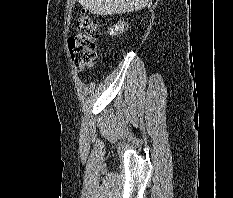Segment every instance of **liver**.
Masks as SVG:
<instances>
[{
    "label": "liver",
    "mask_w": 233,
    "mask_h": 198,
    "mask_svg": "<svg viewBox=\"0 0 233 198\" xmlns=\"http://www.w3.org/2000/svg\"><path fill=\"white\" fill-rule=\"evenodd\" d=\"M92 14L101 16L126 13L143 9L149 0H78Z\"/></svg>",
    "instance_id": "obj_1"
}]
</instances>
